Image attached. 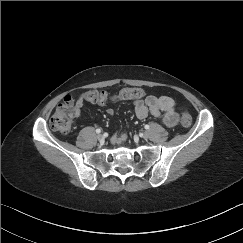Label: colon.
I'll list each match as a JSON object with an SVG mask.
<instances>
[{
    "instance_id": "5ec220e1",
    "label": "colon",
    "mask_w": 243,
    "mask_h": 243,
    "mask_svg": "<svg viewBox=\"0 0 243 243\" xmlns=\"http://www.w3.org/2000/svg\"><path fill=\"white\" fill-rule=\"evenodd\" d=\"M144 96L145 92L141 88H125L113 96L103 91L87 92L84 99L92 103H102L124 99H142ZM74 107V100L71 97H66L50 119L51 128L64 134L70 133L73 127ZM181 124L183 127L191 126L192 118L189 113L182 112Z\"/></svg>"
}]
</instances>
